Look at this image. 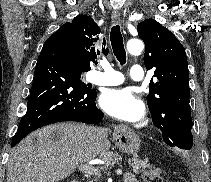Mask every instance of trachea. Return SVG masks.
Segmentation results:
<instances>
[{"label": "trachea", "mask_w": 211, "mask_h": 182, "mask_svg": "<svg viewBox=\"0 0 211 182\" xmlns=\"http://www.w3.org/2000/svg\"><path fill=\"white\" fill-rule=\"evenodd\" d=\"M110 41L115 57L121 65H124L126 63V51L119 25H115L111 28Z\"/></svg>", "instance_id": "1"}]
</instances>
